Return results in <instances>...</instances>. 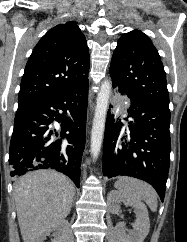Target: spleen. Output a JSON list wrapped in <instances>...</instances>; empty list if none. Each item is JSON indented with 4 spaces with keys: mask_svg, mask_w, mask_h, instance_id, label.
Returning <instances> with one entry per match:
<instances>
[{
    "mask_svg": "<svg viewBox=\"0 0 187 242\" xmlns=\"http://www.w3.org/2000/svg\"><path fill=\"white\" fill-rule=\"evenodd\" d=\"M115 188L131 199L145 201L152 212L157 210L158 196L154 188L148 183L123 176L115 182Z\"/></svg>",
    "mask_w": 187,
    "mask_h": 242,
    "instance_id": "obj_1",
    "label": "spleen"
}]
</instances>
